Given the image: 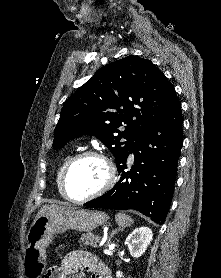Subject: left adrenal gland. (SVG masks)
I'll return each instance as SVG.
<instances>
[{"label": "left adrenal gland", "mask_w": 221, "mask_h": 278, "mask_svg": "<svg viewBox=\"0 0 221 278\" xmlns=\"http://www.w3.org/2000/svg\"><path fill=\"white\" fill-rule=\"evenodd\" d=\"M119 231H120L119 229H115V230L112 231V233L110 234V236H109V238H108V241H107L106 246H108V245L110 244L111 238H112L115 234H117Z\"/></svg>", "instance_id": "a2214340"}]
</instances>
